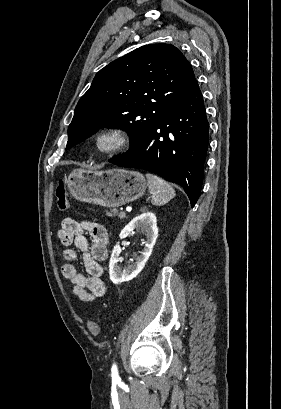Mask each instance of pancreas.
I'll return each instance as SVG.
<instances>
[{
    "label": "pancreas",
    "mask_w": 281,
    "mask_h": 409,
    "mask_svg": "<svg viewBox=\"0 0 281 409\" xmlns=\"http://www.w3.org/2000/svg\"><path fill=\"white\" fill-rule=\"evenodd\" d=\"M106 215L107 217H115V215H119V213L116 211V209H112V211H110V213H106Z\"/></svg>",
    "instance_id": "cf45deb5"
}]
</instances>
